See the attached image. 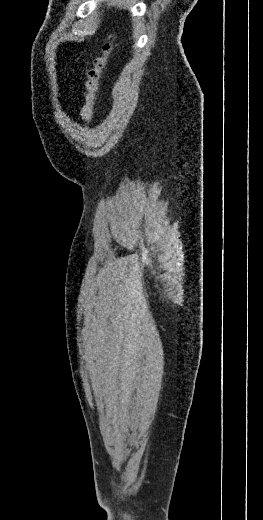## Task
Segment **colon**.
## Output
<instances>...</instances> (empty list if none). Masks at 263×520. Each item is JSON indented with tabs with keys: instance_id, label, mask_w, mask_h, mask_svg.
<instances>
[{
	"instance_id": "colon-1",
	"label": "colon",
	"mask_w": 263,
	"mask_h": 520,
	"mask_svg": "<svg viewBox=\"0 0 263 520\" xmlns=\"http://www.w3.org/2000/svg\"><path fill=\"white\" fill-rule=\"evenodd\" d=\"M115 35H110L103 43L100 55L96 56L91 66L86 71L84 82V103L79 109L82 120L89 121L94 114V106L100 88L103 71L107 67L109 58L112 56L115 46Z\"/></svg>"
}]
</instances>
